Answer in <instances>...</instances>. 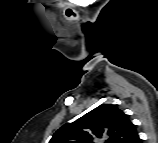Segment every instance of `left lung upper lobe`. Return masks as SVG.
Returning <instances> with one entry per match:
<instances>
[{
  "label": "left lung upper lobe",
  "mask_w": 158,
  "mask_h": 143,
  "mask_svg": "<svg viewBox=\"0 0 158 143\" xmlns=\"http://www.w3.org/2000/svg\"><path fill=\"white\" fill-rule=\"evenodd\" d=\"M105 138L106 143H137L135 125L117 105L102 104L72 123L63 125L50 143H93Z\"/></svg>",
  "instance_id": "left-lung-upper-lobe-1"
}]
</instances>
